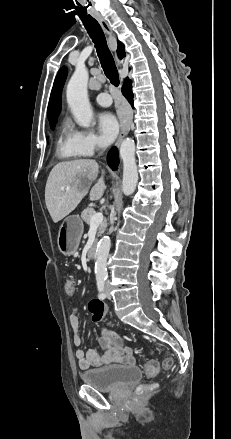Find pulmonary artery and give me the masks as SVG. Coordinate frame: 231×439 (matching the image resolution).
Wrapping results in <instances>:
<instances>
[{"label": "pulmonary artery", "mask_w": 231, "mask_h": 439, "mask_svg": "<svg viewBox=\"0 0 231 439\" xmlns=\"http://www.w3.org/2000/svg\"><path fill=\"white\" fill-rule=\"evenodd\" d=\"M96 103L102 107H108L112 104V98L108 93L102 92L97 95Z\"/></svg>", "instance_id": "e3ab8cb5"}]
</instances>
